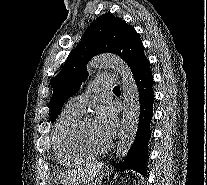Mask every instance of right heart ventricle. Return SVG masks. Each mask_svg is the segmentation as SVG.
<instances>
[{
    "label": "right heart ventricle",
    "instance_id": "obj_1",
    "mask_svg": "<svg viewBox=\"0 0 207 185\" xmlns=\"http://www.w3.org/2000/svg\"><path fill=\"white\" fill-rule=\"evenodd\" d=\"M79 117L80 114L65 110L55 124L52 143L60 163L78 165L94 158V155L83 149L77 140Z\"/></svg>",
    "mask_w": 207,
    "mask_h": 185
}]
</instances>
